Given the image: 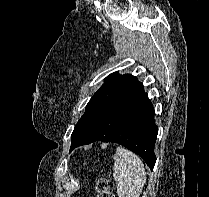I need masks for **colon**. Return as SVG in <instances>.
Returning <instances> with one entry per match:
<instances>
[{
    "label": "colon",
    "instance_id": "1",
    "mask_svg": "<svg viewBox=\"0 0 209 197\" xmlns=\"http://www.w3.org/2000/svg\"><path fill=\"white\" fill-rule=\"evenodd\" d=\"M96 197H114L106 179H99L96 185Z\"/></svg>",
    "mask_w": 209,
    "mask_h": 197
}]
</instances>
